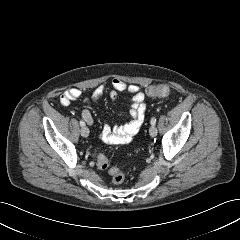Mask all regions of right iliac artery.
<instances>
[{"instance_id": "1", "label": "right iliac artery", "mask_w": 240, "mask_h": 240, "mask_svg": "<svg viewBox=\"0 0 240 240\" xmlns=\"http://www.w3.org/2000/svg\"><path fill=\"white\" fill-rule=\"evenodd\" d=\"M80 126H81V127H84V126H85V122L81 120V121H80Z\"/></svg>"}]
</instances>
